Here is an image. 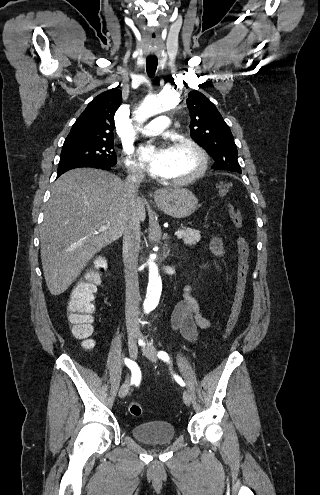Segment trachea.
I'll list each match as a JSON object with an SVG mask.
<instances>
[{
    "mask_svg": "<svg viewBox=\"0 0 320 495\" xmlns=\"http://www.w3.org/2000/svg\"><path fill=\"white\" fill-rule=\"evenodd\" d=\"M158 62L157 60H147L146 61V70L147 73L150 77H153L156 69H157Z\"/></svg>",
    "mask_w": 320,
    "mask_h": 495,
    "instance_id": "trachea-1",
    "label": "trachea"
}]
</instances>
